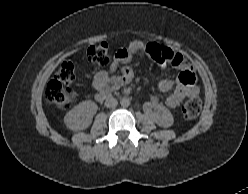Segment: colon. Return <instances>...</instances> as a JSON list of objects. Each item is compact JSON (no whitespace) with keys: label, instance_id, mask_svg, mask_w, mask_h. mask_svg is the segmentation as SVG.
I'll return each instance as SVG.
<instances>
[{"label":"colon","instance_id":"colon-1","mask_svg":"<svg viewBox=\"0 0 248 194\" xmlns=\"http://www.w3.org/2000/svg\"><path fill=\"white\" fill-rule=\"evenodd\" d=\"M148 52L152 59L159 63L172 62L175 54L165 47L148 46ZM88 59L99 66H108L112 62L106 43L92 45L87 51ZM76 75V62L68 60L61 64L54 78L48 83L46 89L47 100L58 109L70 107L76 100V92L69 87ZM201 111V101L197 96L190 97L182 107V113L187 119L196 118Z\"/></svg>","mask_w":248,"mask_h":194}]
</instances>
